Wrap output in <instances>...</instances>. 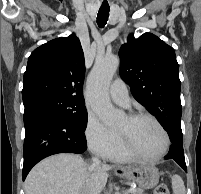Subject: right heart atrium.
I'll list each match as a JSON object with an SVG mask.
<instances>
[{"label":"right heart atrium","mask_w":201,"mask_h":194,"mask_svg":"<svg viewBox=\"0 0 201 194\" xmlns=\"http://www.w3.org/2000/svg\"><path fill=\"white\" fill-rule=\"evenodd\" d=\"M84 136L90 150L101 157H106L119 142V135L92 112L87 115Z\"/></svg>","instance_id":"1"}]
</instances>
